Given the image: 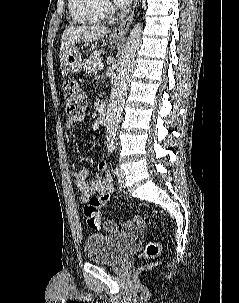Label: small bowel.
I'll use <instances>...</instances> for the list:
<instances>
[{
    "label": "small bowel",
    "mask_w": 239,
    "mask_h": 303,
    "mask_svg": "<svg viewBox=\"0 0 239 303\" xmlns=\"http://www.w3.org/2000/svg\"><path fill=\"white\" fill-rule=\"evenodd\" d=\"M83 119V116L67 118L65 124L67 127H71L76 123L83 121ZM97 169L103 174V178L91 182L87 179V169L84 168L72 172L76 188L80 192V200L82 203H86L96 193L111 192L114 189L107 163L105 161L99 162L97 164ZM105 227L112 232H127L133 229H141L143 227V222L139 217L129 219L123 223H117L110 220L105 223Z\"/></svg>",
    "instance_id": "1"
}]
</instances>
